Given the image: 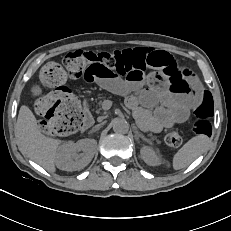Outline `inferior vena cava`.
I'll return each instance as SVG.
<instances>
[{
	"mask_svg": "<svg viewBox=\"0 0 231 231\" xmlns=\"http://www.w3.org/2000/svg\"><path fill=\"white\" fill-rule=\"evenodd\" d=\"M102 124H98V125H95L93 128H98L100 127Z\"/></svg>",
	"mask_w": 231,
	"mask_h": 231,
	"instance_id": "inferior-vena-cava-1",
	"label": "inferior vena cava"
}]
</instances>
